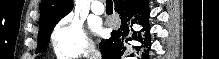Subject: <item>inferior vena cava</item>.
Listing matches in <instances>:
<instances>
[{
  "label": "inferior vena cava",
  "mask_w": 219,
  "mask_h": 59,
  "mask_svg": "<svg viewBox=\"0 0 219 59\" xmlns=\"http://www.w3.org/2000/svg\"><path fill=\"white\" fill-rule=\"evenodd\" d=\"M87 59H101V52L96 50L94 44H89L86 48Z\"/></svg>",
  "instance_id": "inferior-vena-cava-1"
}]
</instances>
